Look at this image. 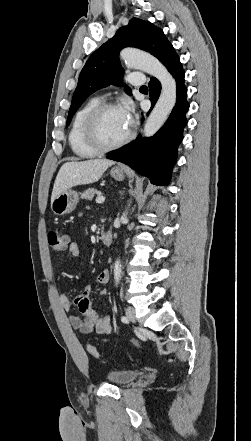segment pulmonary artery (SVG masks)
<instances>
[{
	"instance_id": "pulmonary-artery-1",
	"label": "pulmonary artery",
	"mask_w": 251,
	"mask_h": 441,
	"mask_svg": "<svg viewBox=\"0 0 251 441\" xmlns=\"http://www.w3.org/2000/svg\"><path fill=\"white\" fill-rule=\"evenodd\" d=\"M127 79L130 84L135 85V86H141L145 82L144 76L138 72L130 73L128 75Z\"/></svg>"
}]
</instances>
